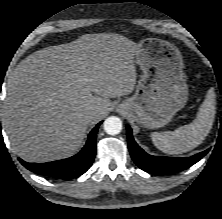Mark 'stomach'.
I'll return each instance as SVG.
<instances>
[{"instance_id": "obj_1", "label": "stomach", "mask_w": 222, "mask_h": 219, "mask_svg": "<svg viewBox=\"0 0 222 219\" xmlns=\"http://www.w3.org/2000/svg\"><path fill=\"white\" fill-rule=\"evenodd\" d=\"M135 59L141 78L117 110L145 127H163L188 100L182 55L166 40L147 38L137 44Z\"/></svg>"}]
</instances>
